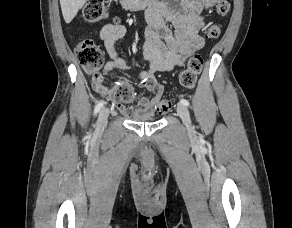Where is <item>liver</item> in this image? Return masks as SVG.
<instances>
[{"mask_svg": "<svg viewBox=\"0 0 292 228\" xmlns=\"http://www.w3.org/2000/svg\"><path fill=\"white\" fill-rule=\"evenodd\" d=\"M88 0H60L64 20L69 24Z\"/></svg>", "mask_w": 292, "mask_h": 228, "instance_id": "6515ba94", "label": "liver"}]
</instances>
